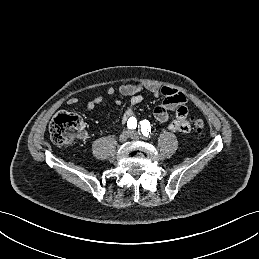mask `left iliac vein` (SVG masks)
<instances>
[{
  "label": "left iliac vein",
  "mask_w": 259,
  "mask_h": 259,
  "mask_svg": "<svg viewBox=\"0 0 259 259\" xmlns=\"http://www.w3.org/2000/svg\"><path fill=\"white\" fill-rule=\"evenodd\" d=\"M130 138H132L134 140H138L140 137H139V134L136 131H131L130 132Z\"/></svg>",
  "instance_id": "1"
}]
</instances>
